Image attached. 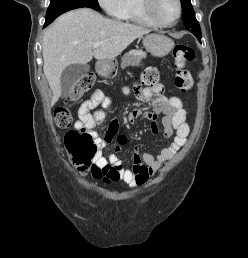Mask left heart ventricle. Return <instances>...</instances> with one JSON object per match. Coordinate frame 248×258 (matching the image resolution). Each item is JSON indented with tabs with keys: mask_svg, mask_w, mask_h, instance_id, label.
<instances>
[{
	"mask_svg": "<svg viewBox=\"0 0 248 258\" xmlns=\"http://www.w3.org/2000/svg\"><path fill=\"white\" fill-rule=\"evenodd\" d=\"M153 11L156 17L165 23L172 22L177 15V4L175 0H155Z\"/></svg>",
	"mask_w": 248,
	"mask_h": 258,
	"instance_id": "left-heart-ventricle-1",
	"label": "left heart ventricle"
}]
</instances>
